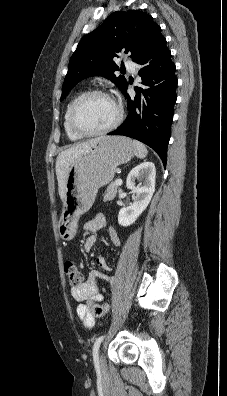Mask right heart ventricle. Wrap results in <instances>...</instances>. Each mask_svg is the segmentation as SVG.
Here are the masks:
<instances>
[{"label": "right heart ventricle", "instance_id": "right-heart-ventricle-1", "mask_svg": "<svg viewBox=\"0 0 227 396\" xmlns=\"http://www.w3.org/2000/svg\"><path fill=\"white\" fill-rule=\"evenodd\" d=\"M75 99H76V97L69 101V103L67 104V106L65 108L64 115H63V128H64L66 136L71 141H78V140L82 139V137H83V136L75 133L72 130L70 123H69V113H70L71 106Z\"/></svg>", "mask_w": 227, "mask_h": 396}]
</instances>
